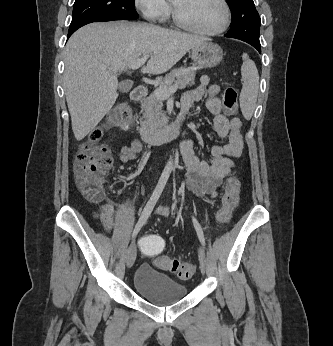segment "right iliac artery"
I'll use <instances>...</instances> for the list:
<instances>
[{"instance_id":"82829eb1","label":"right iliac artery","mask_w":333,"mask_h":346,"mask_svg":"<svg viewBox=\"0 0 333 346\" xmlns=\"http://www.w3.org/2000/svg\"><path fill=\"white\" fill-rule=\"evenodd\" d=\"M170 172L171 170L168 168H165L159 178V181L150 197V199L148 200L146 206L144 207V210L134 228L133 234H132V238H134L139 231L141 230L142 226L146 223L147 219L149 218L154 206L156 205L159 197L161 196L165 185L168 181V178L170 176Z\"/></svg>"}]
</instances>
